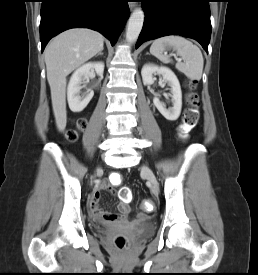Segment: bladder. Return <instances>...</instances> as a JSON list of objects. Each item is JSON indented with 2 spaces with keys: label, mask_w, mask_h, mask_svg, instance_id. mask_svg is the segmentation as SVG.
<instances>
[{
  "label": "bladder",
  "mask_w": 258,
  "mask_h": 275,
  "mask_svg": "<svg viewBox=\"0 0 258 275\" xmlns=\"http://www.w3.org/2000/svg\"><path fill=\"white\" fill-rule=\"evenodd\" d=\"M122 222L130 223V222H132V220L130 218H127V219H124ZM137 226H138L137 234L140 236L148 235L153 230V223L149 219H145V220L139 222Z\"/></svg>",
  "instance_id": "1"
}]
</instances>
